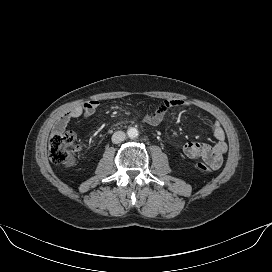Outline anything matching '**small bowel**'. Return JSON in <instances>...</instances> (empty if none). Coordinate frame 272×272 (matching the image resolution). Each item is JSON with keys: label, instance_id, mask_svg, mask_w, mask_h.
<instances>
[{"label": "small bowel", "instance_id": "small-bowel-1", "mask_svg": "<svg viewBox=\"0 0 272 272\" xmlns=\"http://www.w3.org/2000/svg\"><path fill=\"white\" fill-rule=\"evenodd\" d=\"M189 103L179 99H169L155 106L151 112L143 117V121L150 125L159 124L167 110L170 108H188ZM99 107L98 101L90 100L81 105L75 106L65 114L60 116L54 124L55 132H63L68 123L77 118H86L93 115ZM211 132L216 139L214 145L200 142H188L183 146L184 154L193 160L202 159L213 170L219 169L223 163V156L227 152L228 146L225 142L226 135L223 127L217 121L211 123Z\"/></svg>", "mask_w": 272, "mask_h": 272}]
</instances>
